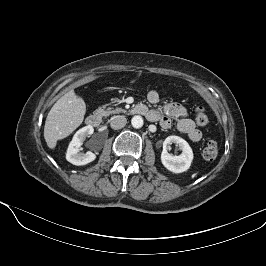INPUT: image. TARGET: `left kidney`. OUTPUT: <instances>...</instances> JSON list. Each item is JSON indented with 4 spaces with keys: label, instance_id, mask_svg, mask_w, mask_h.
<instances>
[{
    "label": "left kidney",
    "instance_id": "5707ae66",
    "mask_svg": "<svg viewBox=\"0 0 266 266\" xmlns=\"http://www.w3.org/2000/svg\"><path fill=\"white\" fill-rule=\"evenodd\" d=\"M177 144L181 150L180 155H172L167 151L170 144ZM193 160V151L187 141L179 136H168L163 143V151L161 153V162L163 166L173 172L182 173L187 171Z\"/></svg>",
    "mask_w": 266,
    "mask_h": 266
}]
</instances>
